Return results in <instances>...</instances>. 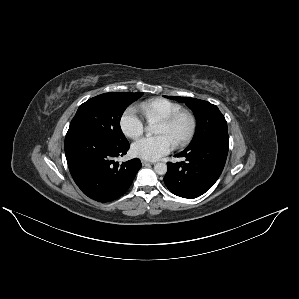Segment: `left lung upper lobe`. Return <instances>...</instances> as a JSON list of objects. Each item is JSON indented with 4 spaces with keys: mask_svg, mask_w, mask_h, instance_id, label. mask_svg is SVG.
Here are the masks:
<instances>
[{
    "mask_svg": "<svg viewBox=\"0 0 299 299\" xmlns=\"http://www.w3.org/2000/svg\"><path fill=\"white\" fill-rule=\"evenodd\" d=\"M185 103L197 119L195 135L188 147L217 134H228L227 122L216 105L207 101L189 97L165 96Z\"/></svg>",
    "mask_w": 299,
    "mask_h": 299,
    "instance_id": "5c2ea615",
    "label": "left lung upper lobe"
}]
</instances>
